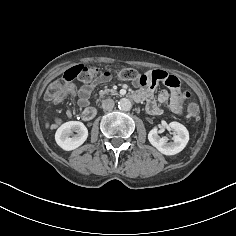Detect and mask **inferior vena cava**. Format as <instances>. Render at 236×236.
I'll use <instances>...</instances> for the list:
<instances>
[{
    "instance_id": "inferior-vena-cava-1",
    "label": "inferior vena cava",
    "mask_w": 236,
    "mask_h": 236,
    "mask_svg": "<svg viewBox=\"0 0 236 236\" xmlns=\"http://www.w3.org/2000/svg\"><path fill=\"white\" fill-rule=\"evenodd\" d=\"M114 105L115 103L113 99L108 98L102 101V108L104 110H111L113 109Z\"/></svg>"
}]
</instances>
